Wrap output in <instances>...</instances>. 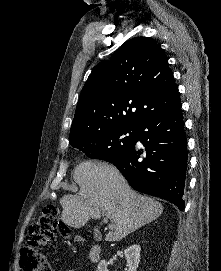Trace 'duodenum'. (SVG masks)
Instances as JSON below:
<instances>
[{
    "instance_id": "obj_1",
    "label": "duodenum",
    "mask_w": 221,
    "mask_h": 271,
    "mask_svg": "<svg viewBox=\"0 0 221 271\" xmlns=\"http://www.w3.org/2000/svg\"><path fill=\"white\" fill-rule=\"evenodd\" d=\"M102 248L99 244H95L91 247L89 252V259L92 263H97L101 259Z\"/></svg>"
}]
</instances>
